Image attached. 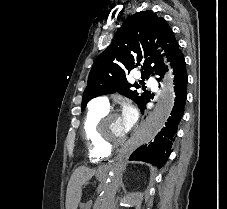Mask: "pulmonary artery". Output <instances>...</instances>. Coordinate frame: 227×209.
I'll use <instances>...</instances> for the list:
<instances>
[{
	"instance_id": "1",
	"label": "pulmonary artery",
	"mask_w": 227,
	"mask_h": 209,
	"mask_svg": "<svg viewBox=\"0 0 227 209\" xmlns=\"http://www.w3.org/2000/svg\"><path fill=\"white\" fill-rule=\"evenodd\" d=\"M87 105H97L99 108H108L106 95H97V100H87Z\"/></svg>"
}]
</instances>
